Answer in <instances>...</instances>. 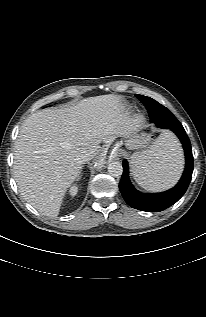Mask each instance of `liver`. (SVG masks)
Returning <instances> with one entry per match:
<instances>
[{"instance_id":"6515ba94","label":"liver","mask_w":206,"mask_h":317,"mask_svg":"<svg viewBox=\"0 0 206 317\" xmlns=\"http://www.w3.org/2000/svg\"><path fill=\"white\" fill-rule=\"evenodd\" d=\"M140 128L117 95H100L63 108H46L22 124L15 143L14 175L22 197L40 213L56 217L67 189L81 170V152Z\"/></svg>"}]
</instances>
